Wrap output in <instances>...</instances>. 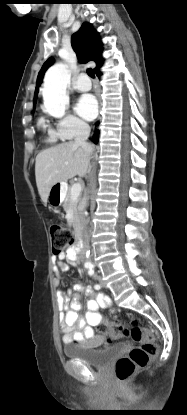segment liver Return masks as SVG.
<instances>
[{
	"mask_svg": "<svg viewBox=\"0 0 187 415\" xmlns=\"http://www.w3.org/2000/svg\"><path fill=\"white\" fill-rule=\"evenodd\" d=\"M89 156L81 146L69 141L41 151L35 162V177L39 195L46 205L53 185L78 175L84 177Z\"/></svg>",
	"mask_w": 187,
	"mask_h": 415,
	"instance_id": "1",
	"label": "liver"
}]
</instances>
